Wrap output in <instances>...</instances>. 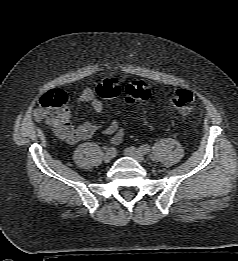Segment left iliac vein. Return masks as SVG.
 <instances>
[{"label":"left iliac vein","instance_id":"4c4485c4","mask_svg":"<svg viewBox=\"0 0 238 261\" xmlns=\"http://www.w3.org/2000/svg\"><path fill=\"white\" fill-rule=\"evenodd\" d=\"M125 155L132 157L138 162H143L145 157L144 154L137 148L135 147H128L124 151Z\"/></svg>","mask_w":238,"mask_h":261}]
</instances>
